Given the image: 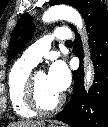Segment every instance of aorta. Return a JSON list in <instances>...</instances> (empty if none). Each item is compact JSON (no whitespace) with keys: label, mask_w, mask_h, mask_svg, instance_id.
I'll use <instances>...</instances> for the list:
<instances>
[{"label":"aorta","mask_w":108,"mask_h":127,"mask_svg":"<svg viewBox=\"0 0 108 127\" xmlns=\"http://www.w3.org/2000/svg\"><path fill=\"white\" fill-rule=\"evenodd\" d=\"M42 20L45 23H50L57 20H66L72 24H74L82 35V39L84 43H86V34L85 28L83 25V19L80 13L73 7L67 5H57L49 8L42 16ZM85 86L91 84L93 79V69L92 65L90 64V59L86 54V61H85Z\"/></svg>","instance_id":"1"}]
</instances>
